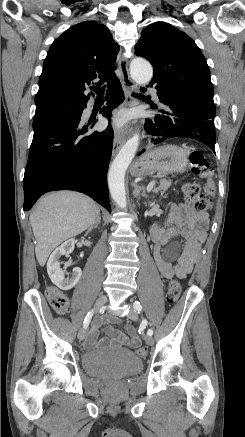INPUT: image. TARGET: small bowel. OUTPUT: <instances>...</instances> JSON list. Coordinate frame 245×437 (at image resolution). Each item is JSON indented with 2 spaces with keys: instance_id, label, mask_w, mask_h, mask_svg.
I'll use <instances>...</instances> for the list:
<instances>
[{
  "instance_id": "c3829d8e",
  "label": "small bowel",
  "mask_w": 245,
  "mask_h": 437,
  "mask_svg": "<svg viewBox=\"0 0 245 437\" xmlns=\"http://www.w3.org/2000/svg\"><path fill=\"white\" fill-rule=\"evenodd\" d=\"M208 226V214L197 211L191 202L171 206L164 225L157 226L152 231V238L157 243L154 247V259L163 277L185 278L192 272L199 258L201 246L206 240ZM173 238H181L184 242V251L177 263H171L162 256L163 246ZM103 321H96L95 329L90 333L86 343L88 348L97 344V327ZM107 332L115 343L123 347L134 348L140 344V338L133 328H128L129 336L112 327H107Z\"/></svg>"
}]
</instances>
